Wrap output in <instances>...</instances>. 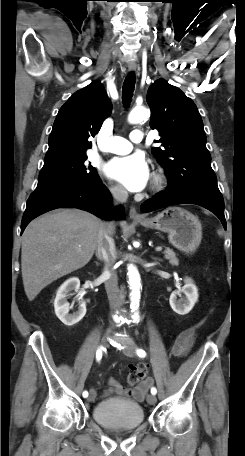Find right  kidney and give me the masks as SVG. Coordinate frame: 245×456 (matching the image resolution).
<instances>
[{"label": "right kidney", "instance_id": "1", "mask_svg": "<svg viewBox=\"0 0 245 456\" xmlns=\"http://www.w3.org/2000/svg\"><path fill=\"white\" fill-rule=\"evenodd\" d=\"M80 280L76 277L66 280L58 289L54 300L55 314L59 320L66 326L77 324L86 314V302L79 298L80 305L78 311L69 314V303L67 298L72 295V291L78 292Z\"/></svg>", "mask_w": 245, "mask_h": 456}]
</instances>
